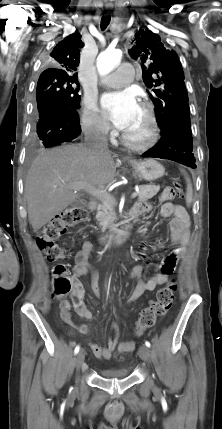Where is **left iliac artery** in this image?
<instances>
[{
    "label": "left iliac artery",
    "instance_id": "obj_1",
    "mask_svg": "<svg viewBox=\"0 0 222 429\" xmlns=\"http://www.w3.org/2000/svg\"><path fill=\"white\" fill-rule=\"evenodd\" d=\"M145 345H146L147 347H150V346H151V344H150V342H149V341H145Z\"/></svg>",
    "mask_w": 222,
    "mask_h": 429
}]
</instances>
